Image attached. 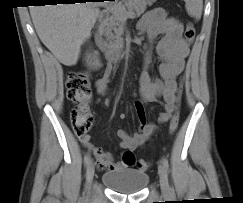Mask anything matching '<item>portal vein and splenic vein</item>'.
Instances as JSON below:
<instances>
[{"instance_id":"portal-vein-and-splenic-vein-1","label":"portal vein and splenic vein","mask_w":243,"mask_h":203,"mask_svg":"<svg viewBox=\"0 0 243 203\" xmlns=\"http://www.w3.org/2000/svg\"><path fill=\"white\" fill-rule=\"evenodd\" d=\"M102 5H104L103 3H100ZM110 10L119 12L120 15L123 17V19H127V18H134V13L133 12H127L125 9L119 7L118 5H110Z\"/></svg>"}]
</instances>
